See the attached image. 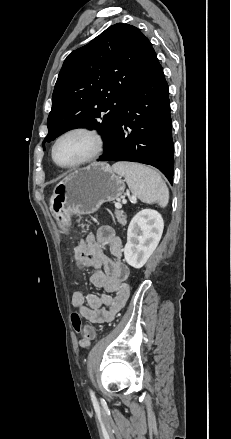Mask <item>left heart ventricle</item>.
I'll return each mask as SVG.
<instances>
[{
  "mask_svg": "<svg viewBox=\"0 0 231 439\" xmlns=\"http://www.w3.org/2000/svg\"><path fill=\"white\" fill-rule=\"evenodd\" d=\"M93 139L83 133H75L64 137L56 148V158L64 165L78 162L88 155L94 149Z\"/></svg>",
  "mask_w": 231,
  "mask_h": 439,
  "instance_id": "obj_1",
  "label": "left heart ventricle"
}]
</instances>
